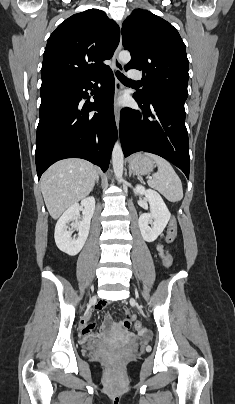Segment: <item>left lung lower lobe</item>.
I'll return each mask as SVG.
<instances>
[{
	"mask_svg": "<svg viewBox=\"0 0 235 404\" xmlns=\"http://www.w3.org/2000/svg\"><path fill=\"white\" fill-rule=\"evenodd\" d=\"M142 112L125 108L121 111L119 134L124 156L138 151L159 155L189 179L190 157L185 126V100L159 96L144 100L133 95Z\"/></svg>",
	"mask_w": 235,
	"mask_h": 404,
	"instance_id": "left-lung-lower-lobe-1",
	"label": "left lung lower lobe"
}]
</instances>
